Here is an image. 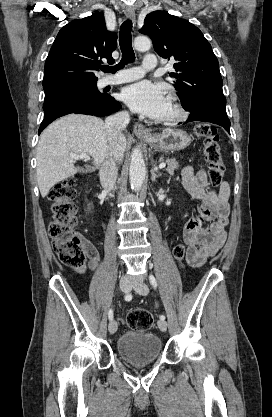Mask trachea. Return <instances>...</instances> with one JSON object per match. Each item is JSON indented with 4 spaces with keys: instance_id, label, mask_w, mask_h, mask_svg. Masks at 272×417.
<instances>
[{
    "instance_id": "obj_1",
    "label": "trachea",
    "mask_w": 272,
    "mask_h": 417,
    "mask_svg": "<svg viewBox=\"0 0 272 417\" xmlns=\"http://www.w3.org/2000/svg\"><path fill=\"white\" fill-rule=\"evenodd\" d=\"M132 22L126 20L123 22L119 33V45L122 51V59L116 66H104L102 70L104 72L115 73L119 69H122L126 64L131 63L135 60V53L132 48V37H131Z\"/></svg>"
}]
</instances>
